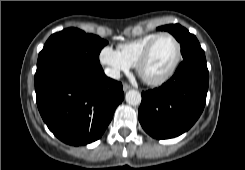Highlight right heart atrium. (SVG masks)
<instances>
[{
	"label": "right heart atrium",
	"instance_id": "1",
	"mask_svg": "<svg viewBox=\"0 0 245 170\" xmlns=\"http://www.w3.org/2000/svg\"><path fill=\"white\" fill-rule=\"evenodd\" d=\"M99 60L105 66V73L111 78H118L122 72L130 68V64L123 58L120 52L110 46L102 48Z\"/></svg>",
	"mask_w": 245,
	"mask_h": 170
}]
</instances>
